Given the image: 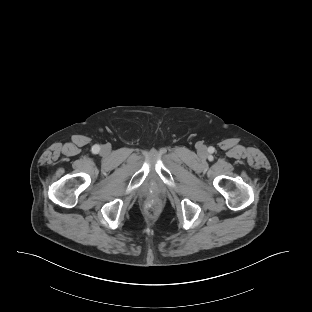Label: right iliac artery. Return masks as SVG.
Here are the masks:
<instances>
[{
	"instance_id": "1",
	"label": "right iliac artery",
	"mask_w": 312,
	"mask_h": 312,
	"mask_svg": "<svg viewBox=\"0 0 312 312\" xmlns=\"http://www.w3.org/2000/svg\"><path fill=\"white\" fill-rule=\"evenodd\" d=\"M92 151L94 153H98L100 151V146L99 145H94L93 148H92Z\"/></svg>"
}]
</instances>
